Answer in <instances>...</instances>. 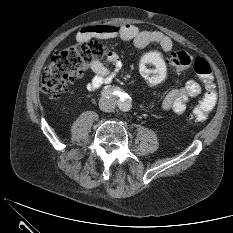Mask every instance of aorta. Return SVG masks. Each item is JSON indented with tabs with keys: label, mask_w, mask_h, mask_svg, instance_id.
<instances>
[{
	"label": "aorta",
	"mask_w": 233,
	"mask_h": 233,
	"mask_svg": "<svg viewBox=\"0 0 233 233\" xmlns=\"http://www.w3.org/2000/svg\"><path fill=\"white\" fill-rule=\"evenodd\" d=\"M131 98L128 96L123 97L121 100L120 108L122 111H129L131 109Z\"/></svg>",
	"instance_id": "1"
}]
</instances>
